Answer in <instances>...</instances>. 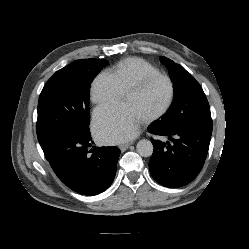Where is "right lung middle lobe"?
Listing matches in <instances>:
<instances>
[{
    "label": "right lung middle lobe",
    "mask_w": 249,
    "mask_h": 249,
    "mask_svg": "<svg viewBox=\"0 0 249 249\" xmlns=\"http://www.w3.org/2000/svg\"><path fill=\"white\" fill-rule=\"evenodd\" d=\"M108 63L80 59L52 75L38 102L36 130L41 146L60 136L90 133V84Z\"/></svg>",
    "instance_id": "1"
}]
</instances>
